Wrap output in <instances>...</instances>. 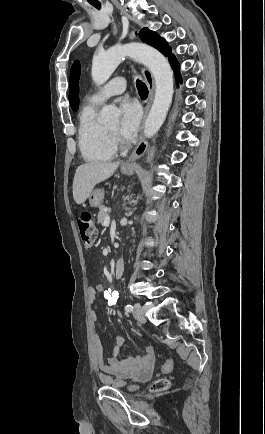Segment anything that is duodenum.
<instances>
[{"label": "duodenum", "instance_id": "duodenum-1", "mask_svg": "<svg viewBox=\"0 0 265 434\" xmlns=\"http://www.w3.org/2000/svg\"><path fill=\"white\" fill-rule=\"evenodd\" d=\"M125 258L124 257H120L118 258L115 263H114V268H113V274L112 277L114 280H118L122 277V275L124 274V270H125Z\"/></svg>", "mask_w": 265, "mask_h": 434}]
</instances>
